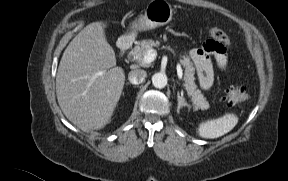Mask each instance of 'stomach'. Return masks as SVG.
Returning <instances> with one entry per match:
<instances>
[{
	"instance_id": "0dacf381",
	"label": "stomach",
	"mask_w": 288,
	"mask_h": 181,
	"mask_svg": "<svg viewBox=\"0 0 288 181\" xmlns=\"http://www.w3.org/2000/svg\"><path fill=\"white\" fill-rule=\"evenodd\" d=\"M173 18V8L166 0H151L144 14H141L138 19H136L130 28V32L119 39V43L123 42L121 45L134 41L138 32L149 31L155 29L159 26L166 25Z\"/></svg>"
}]
</instances>
